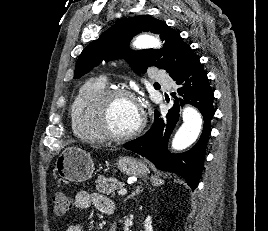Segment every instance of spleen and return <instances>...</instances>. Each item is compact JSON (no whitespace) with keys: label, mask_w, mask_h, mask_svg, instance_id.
I'll return each instance as SVG.
<instances>
[{"label":"spleen","mask_w":268,"mask_h":231,"mask_svg":"<svg viewBox=\"0 0 268 231\" xmlns=\"http://www.w3.org/2000/svg\"><path fill=\"white\" fill-rule=\"evenodd\" d=\"M151 181H152V184H153L154 186L163 184V180L158 179V178H156V177H151Z\"/></svg>","instance_id":"1"}]
</instances>
